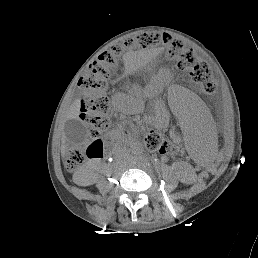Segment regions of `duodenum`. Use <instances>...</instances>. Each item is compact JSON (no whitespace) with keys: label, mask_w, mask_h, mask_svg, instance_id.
Instances as JSON below:
<instances>
[{"label":"duodenum","mask_w":258,"mask_h":258,"mask_svg":"<svg viewBox=\"0 0 258 258\" xmlns=\"http://www.w3.org/2000/svg\"><path fill=\"white\" fill-rule=\"evenodd\" d=\"M87 154L90 158L92 159H97L98 157H101L103 155H100L99 154V149H98V146H93V147H90L88 150H87Z\"/></svg>","instance_id":"duodenum-1"}]
</instances>
